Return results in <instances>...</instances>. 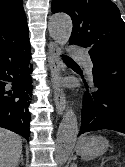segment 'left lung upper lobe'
Returning a JSON list of instances; mask_svg holds the SVG:
<instances>
[{"label": "left lung upper lobe", "mask_w": 125, "mask_h": 167, "mask_svg": "<svg viewBox=\"0 0 125 167\" xmlns=\"http://www.w3.org/2000/svg\"><path fill=\"white\" fill-rule=\"evenodd\" d=\"M51 11L71 17L69 43L89 50L93 71L111 68L125 74V23L111 0H53Z\"/></svg>", "instance_id": "left-lung-upper-lobe-1"}]
</instances>
